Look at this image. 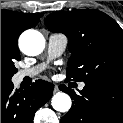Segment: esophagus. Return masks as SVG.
Returning <instances> with one entry per match:
<instances>
[{
  "label": "esophagus",
  "mask_w": 123,
  "mask_h": 123,
  "mask_svg": "<svg viewBox=\"0 0 123 123\" xmlns=\"http://www.w3.org/2000/svg\"><path fill=\"white\" fill-rule=\"evenodd\" d=\"M59 91V87L58 85H54V93L58 92Z\"/></svg>",
  "instance_id": "obj_1"
}]
</instances>
